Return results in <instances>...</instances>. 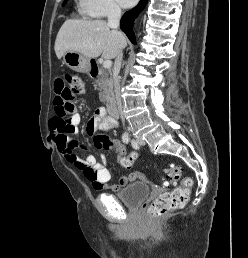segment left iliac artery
<instances>
[{
  "mask_svg": "<svg viewBox=\"0 0 248 258\" xmlns=\"http://www.w3.org/2000/svg\"><path fill=\"white\" fill-rule=\"evenodd\" d=\"M131 144H132L133 148H135V149L139 148L137 143L134 140H132Z\"/></svg>",
  "mask_w": 248,
  "mask_h": 258,
  "instance_id": "obj_1",
  "label": "left iliac artery"
}]
</instances>
